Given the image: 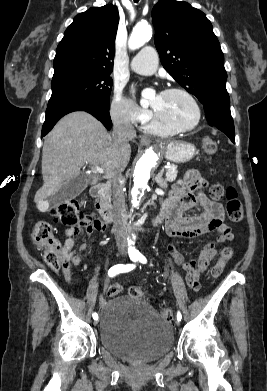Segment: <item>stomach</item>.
Returning a JSON list of instances; mask_svg holds the SVG:
<instances>
[{"mask_svg": "<svg viewBox=\"0 0 267 391\" xmlns=\"http://www.w3.org/2000/svg\"><path fill=\"white\" fill-rule=\"evenodd\" d=\"M196 153V147L189 142H172L165 148V158L174 163L188 162Z\"/></svg>", "mask_w": 267, "mask_h": 391, "instance_id": "obj_1", "label": "stomach"}]
</instances>
